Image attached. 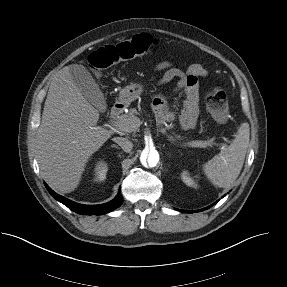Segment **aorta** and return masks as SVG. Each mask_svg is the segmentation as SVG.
<instances>
[{"instance_id": "1", "label": "aorta", "mask_w": 287, "mask_h": 287, "mask_svg": "<svg viewBox=\"0 0 287 287\" xmlns=\"http://www.w3.org/2000/svg\"><path fill=\"white\" fill-rule=\"evenodd\" d=\"M140 161L144 166L155 167L159 162V153L155 149H144Z\"/></svg>"}]
</instances>
